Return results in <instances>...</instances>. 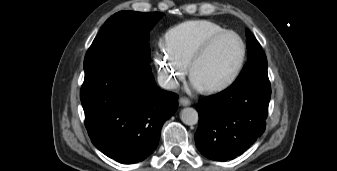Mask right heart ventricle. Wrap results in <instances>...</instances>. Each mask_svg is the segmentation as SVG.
<instances>
[{
  "label": "right heart ventricle",
  "instance_id": "obj_1",
  "mask_svg": "<svg viewBox=\"0 0 337 171\" xmlns=\"http://www.w3.org/2000/svg\"><path fill=\"white\" fill-rule=\"evenodd\" d=\"M226 29L210 20H189L169 29L165 45L186 66L197 48L208 38Z\"/></svg>",
  "mask_w": 337,
  "mask_h": 171
}]
</instances>
